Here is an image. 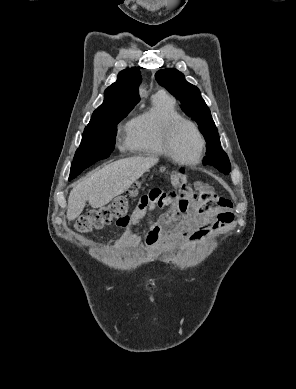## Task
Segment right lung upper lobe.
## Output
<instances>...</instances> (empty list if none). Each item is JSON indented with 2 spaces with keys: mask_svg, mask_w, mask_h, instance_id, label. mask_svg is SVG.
<instances>
[{
  "mask_svg": "<svg viewBox=\"0 0 296 389\" xmlns=\"http://www.w3.org/2000/svg\"><path fill=\"white\" fill-rule=\"evenodd\" d=\"M141 73L137 67L125 69L118 74L117 81L104 92V102L93 113L91 119L104 116L116 109L134 107L140 100L138 85Z\"/></svg>",
  "mask_w": 296,
  "mask_h": 389,
  "instance_id": "1",
  "label": "right lung upper lobe"
}]
</instances>
